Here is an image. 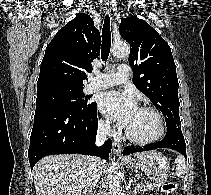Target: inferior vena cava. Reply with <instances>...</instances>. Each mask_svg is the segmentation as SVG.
Here are the masks:
<instances>
[{
    "mask_svg": "<svg viewBox=\"0 0 211 195\" xmlns=\"http://www.w3.org/2000/svg\"><path fill=\"white\" fill-rule=\"evenodd\" d=\"M111 133V126L110 122L106 121L99 125L97 136H96V144L98 146L102 145L106 137ZM90 165H89V179H88V187L90 188L89 191H92L96 186L97 180L100 178L101 175V160L98 157H90L89 158ZM95 195V194H94Z\"/></svg>",
    "mask_w": 211,
    "mask_h": 195,
    "instance_id": "obj_1",
    "label": "inferior vena cava"
}]
</instances>
